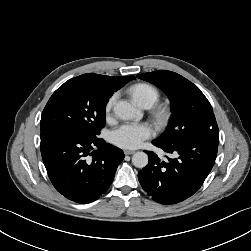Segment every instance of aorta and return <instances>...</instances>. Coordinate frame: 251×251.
Masks as SVG:
<instances>
[{"mask_svg": "<svg viewBox=\"0 0 251 251\" xmlns=\"http://www.w3.org/2000/svg\"><path fill=\"white\" fill-rule=\"evenodd\" d=\"M114 113L122 119H132L137 114L136 108L127 101H119L114 106ZM132 163L137 168H144L148 164V155L145 152H136Z\"/></svg>", "mask_w": 251, "mask_h": 251, "instance_id": "762f6f07", "label": "aorta"}]
</instances>
